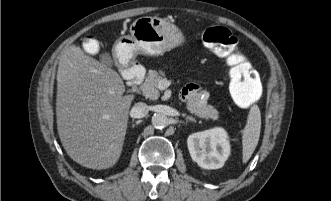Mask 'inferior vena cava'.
I'll list each match as a JSON object with an SVG mask.
<instances>
[{"label": "inferior vena cava", "instance_id": "inferior-vena-cava-1", "mask_svg": "<svg viewBox=\"0 0 331 201\" xmlns=\"http://www.w3.org/2000/svg\"><path fill=\"white\" fill-rule=\"evenodd\" d=\"M148 112L149 106L146 103L138 102L133 106L130 114L133 118H143L148 114Z\"/></svg>", "mask_w": 331, "mask_h": 201}]
</instances>
